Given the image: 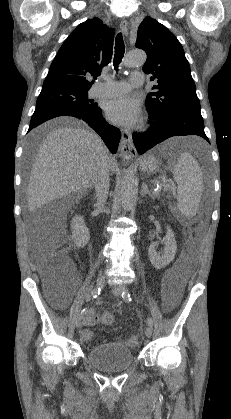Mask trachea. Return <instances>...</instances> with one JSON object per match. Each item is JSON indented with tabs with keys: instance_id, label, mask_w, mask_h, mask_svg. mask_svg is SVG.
Instances as JSON below:
<instances>
[{
	"instance_id": "trachea-1",
	"label": "trachea",
	"mask_w": 231,
	"mask_h": 419,
	"mask_svg": "<svg viewBox=\"0 0 231 419\" xmlns=\"http://www.w3.org/2000/svg\"><path fill=\"white\" fill-rule=\"evenodd\" d=\"M125 51L124 41L122 33H118L115 40V55H114V67L118 70V65L121 62Z\"/></svg>"
}]
</instances>
